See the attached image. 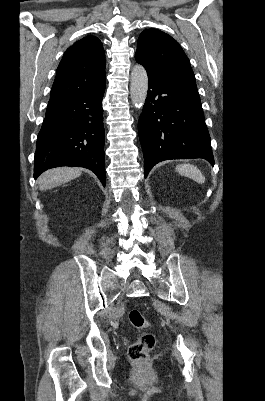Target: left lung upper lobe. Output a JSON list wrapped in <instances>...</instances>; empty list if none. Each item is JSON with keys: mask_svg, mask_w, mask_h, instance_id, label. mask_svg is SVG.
Segmentation results:
<instances>
[{"mask_svg": "<svg viewBox=\"0 0 265 401\" xmlns=\"http://www.w3.org/2000/svg\"><path fill=\"white\" fill-rule=\"evenodd\" d=\"M135 59L150 75L196 83L189 59L181 46L160 30L147 29L141 33Z\"/></svg>", "mask_w": 265, "mask_h": 401, "instance_id": "obj_1", "label": "left lung upper lobe"}]
</instances>
